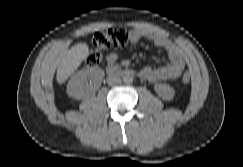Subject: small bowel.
<instances>
[{"label": "small bowel", "instance_id": "c3829d8e", "mask_svg": "<svg viewBox=\"0 0 243 167\" xmlns=\"http://www.w3.org/2000/svg\"><path fill=\"white\" fill-rule=\"evenodd\" d=\"M142 39H148L156 47L163 49L168 56V62L158 68L146 66L141 69V78L151 83L164 80L177 79L185 70L186 64L181 49L160 33L149 31L143 28L132 30L133 43H137ZM118 59V55L111 52L107 55L106 61L109 65H113Z\"/></svg>", "mask_w": 243, "mask_h": 167}]
</instances>
